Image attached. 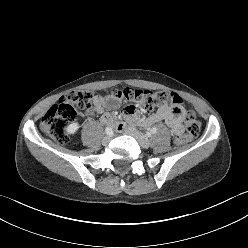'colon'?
Listing matches in <instances>:
<instances>
[{"label":"colon","instance_id":"1","mask_svg":"<svg viewBox=\"0 0 248 248\" xmlns=\"http://www.w3.org/2000/svg\"><path fill=\"white\" fill-rule=\"evenodd\" d=\"M114 98L127 101L130 105L151 111L160 106L183 107V99L176 93L170 91H147L126 88L115 90L111 94ZM94 94L88 90H72L62 96L54 104L40 121V129L48 137L58 143H66L68 135L66 127L73 122L78 110L87 109L91 106ZM185 133L176 135L174 143L183 145L191 138L196 137L201 130V124L196 115L189 111L184 120Z\"/></svg>","mask_w":248,"mask_h":248}]
</instances>
